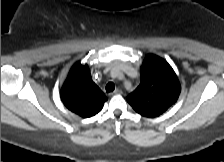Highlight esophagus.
I'll return each mask as SVG.
<instances>
[{"label":"esophagus","mask_w":224,"mask_h":162,"mask_svg":"<svg viewBox=\"0 0 224 162\" xmlns=\"http://www.w3.org/2000/svg\"><path fill=\"white\" fill-rule=\"evenodd\" d=\"M121 93H122L121 89H116L114 92L110 93L109 95L113 96V95H117V94H121Z\"/></svg>","instance_id":"esophagus-1"}]
</instances>
